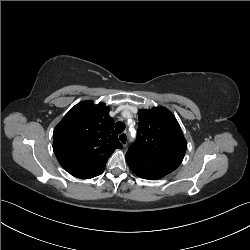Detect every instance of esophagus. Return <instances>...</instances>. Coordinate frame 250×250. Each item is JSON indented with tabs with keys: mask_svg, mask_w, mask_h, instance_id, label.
Instances as JSON below:
<instances>
[{
	"mask_svg": "<svg viewBox=\"0 0 250 250\" xmlns=\"http://www.w3.org/2000/svg\"><path fill=\"white\" fill-rule=\"evenodd\" d=\"M119 141L125 147L127 145V133L123 132L118 136Z\"/></svg>",
	"mask_w": 250,
	"mask_h": 250,
	"instance_id": "esophagus-1",
	"label": "esophagus"
}]
</instances>
